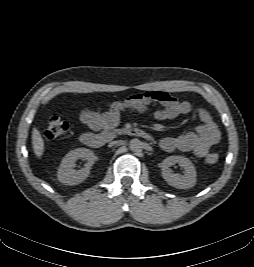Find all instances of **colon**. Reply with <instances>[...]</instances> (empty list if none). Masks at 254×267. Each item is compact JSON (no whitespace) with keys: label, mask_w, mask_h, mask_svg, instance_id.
<instances>
[{"label":"colon","mask_w":254,"mask_h":267,"mask_svg":"<svg viewBox=\"0 0 254 267\" xmlns=\"http://www.w3.org/2000/svg\"><path fill=\"white\" fill-rule=\"evenodd\" d=\"M69 130V124L59 116H53L50 118L48 125L44 131L46 139L53 140L59 138L67 133ZM219 161V156L216 153H209L204 162L207 165H214Z\"/></svg>","instance_id":"obj_1"}]
</instances>
